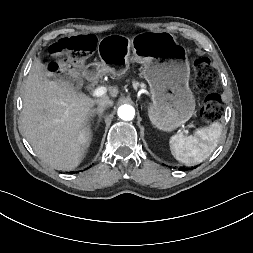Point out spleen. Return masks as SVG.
I'll use <instances>...</instances> for the list:
<instances>
[{"label": "spleen", "mask_w": 253, "mask_h": 253, "mask_svg": "<svg viewBox=\"0 0 253 253\" xmlns=\"http://www.w3.org/2000/svg\"><path fill=\"white\" fill-rule=\"evenodd\" d=\"M222 125L215 122L197 129L194 135L176 134L170 138V150L176 160L188 166L197 165L207 159L217 147Z\"/></svg>", "instance_id": "obj_1"}]
</instances>
